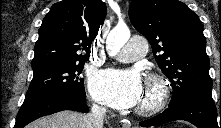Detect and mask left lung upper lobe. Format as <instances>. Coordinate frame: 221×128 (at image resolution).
<instances>
[{
  "mask_svg": "<svg viewBox=\"0 0 221 128\" xmlns=\"http://www.w3.org/2000/svg\"><path fill=\"white\" fill-rule=\"evenodd\" d=\"M129 17L150 42L159 68L171 81L169 107L192 97H212L206 38L192 10L178 0H132Z\"/></svg>",
  "mask_w": 221,
  "mask_h": 128,
  "instance_id": "left-lung-upper-lobe-1",
  "label": "left lung upper lobe"
}]
</instances>
